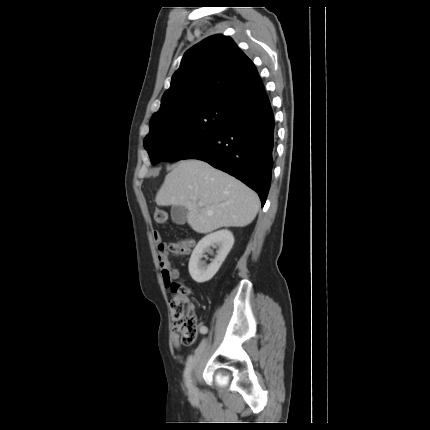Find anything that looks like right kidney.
<instances>
[{
  "label": "right kidney",
  "instance_id": "ca27d5eb",
  "mask_svg": "<svg viewBox=\"0 0 430 430\" xmlns=\"http://www.w3.org/2000/svg\"><path fill=\"white\" fill-rule=\"evenodd\" d=\"M234 244L233 234L228 230H220L202 238L194 248L189 260V273L197 283H204L213 278L217 273ZM210 246H218L215 259L206 265L201 261L205 251Z\"/></svg>",
  "mask_w": 430,
  "mask_h": 430
}]
</instances>
